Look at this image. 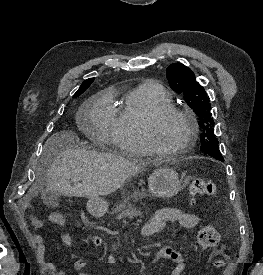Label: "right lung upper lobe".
Returning <instances> with one entry per match:
<instances>
[{
    "instance_id": "1",
    "label": "right lung upper lobe",
    "mask_w": 263,
    "mask_h": 275,
    "mask_svg": "<svg viewBox=\"0 0 263 275\" xmlns=\"http://www.w3.org/2000/svg\"><path fill=\"white\" fill-rule=\"evenodd\" d=\"M93 80H94V78H89V79L85 80V81L82 83V85H81V87L79 88V90H78L75 94L79 93L81 90L85 89L86 87L88 88V87L91 85V83L93 82ZM75 94H74V95H75Z\"/></svg>"
}]
</instances>
